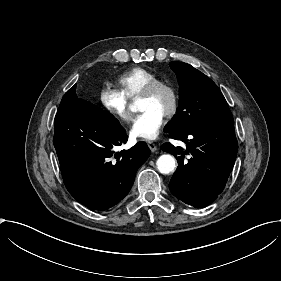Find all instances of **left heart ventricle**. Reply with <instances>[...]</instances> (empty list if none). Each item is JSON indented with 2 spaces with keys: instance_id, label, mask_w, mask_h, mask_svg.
<instances>
[{
  "instance_id": "obj_1",
  "label": "left heart ventricle",
  "mask_w": 281,
  "mask_h": 281,
  "mask_svg": "<svg viewBox=\"0 0 281 281\" xmlns=\"http://www.w3.org/2000/svg\"><path fill=\"white\" fill-rule=\"evenodd\" d=\"M169 105V98L164 90H161L152 99L139 98V111L150 110L164 117V113Z\"/></svg>"
}]
</instances>
